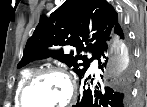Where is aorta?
Masks as SVG:
<instances>
[{"instance_id": "1", "label": "aorta", "mask_w": 147, "mask_h": 107, "mask_svg": "<svg viewBox=\"0 0 147 107\" xmlns=\"http://www.w3.org/2000/svg\"><path fill=\"white\" fill-rule=\"evenodd\" d=\"M112 43L113 49L104 75V84L114 88L130 73L131 54L118 37H115Z\"/></svg>"}]
</instances>
